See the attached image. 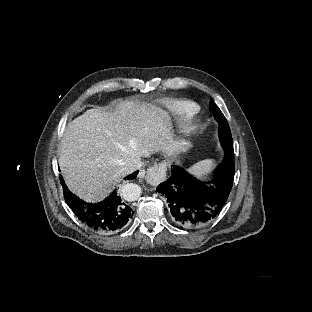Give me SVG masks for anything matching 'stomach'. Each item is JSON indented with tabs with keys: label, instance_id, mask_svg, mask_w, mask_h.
Instances as JSON below:
<instances>
[{
	"label": "stomach",
	"instance_id": "0dacf381",
	"mask_svg": "<svg viewBox=\"0 0 312 312\" xmlns=\"http://www.w3.org/2000/svg\"><path fill=\"white\" fill-rule=\"evenodd\" d=\"M173 160H175V158H173ZM173 160L168 161V162H167V163H165V164H166V165H170V164H171V162H172ZM176 162H178V161L176 160Z\"/></svg>",
	"mask_w": 312,
	"mask_h": 312
}]
</instances>
